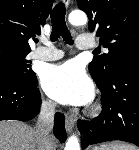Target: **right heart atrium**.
<instances>
[{
  "instance_id": "1",
  "label": "right heart atrium",
  "mask_w": 139,
  "mask_h": 150,
  "mask_svg": "<svg viewBox=\"0 0 139 150\" xmlns=\"http://www.w3.org/2000/svg\"><path fill=\"white\" fill-rule=\"evenodd\" d=\"M42 106H43V109L47 112H51L54 109L53 104L49 101H46V100L43 101Z\"/></svg>"
}]
</instances>
